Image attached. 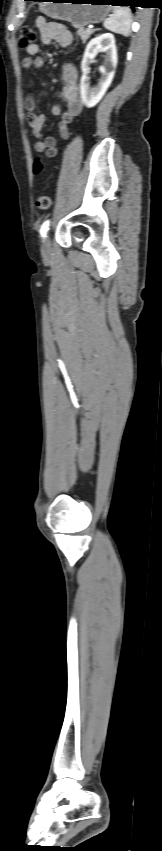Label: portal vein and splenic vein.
<instances>
[{"label": "portal vein and splenic vein", "mask_w": 162, "mask_h": 851, "mask_svg": "<svg viewBox=\"0 0 162 851\" xmlns=\"http://www.w3.org/2000/svg\"><path fill=\"white\" fill-rule=\"evenodd\" d=\"M90 29H91V26H88L87 30H90Z\"/></svg>", "instance_id": "obj_1"}]
</instances>
